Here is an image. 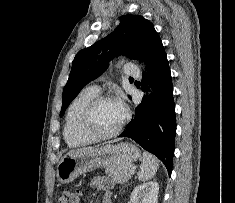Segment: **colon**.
Instances as JSON below:
<instances>
[{"instance_id":"colon-1","label":"colon","mask_w":235,"mask_h":203,"mask_svg":"<svg viewBox=\"0 0 235 203\" xmlns=\"http://www.w3.org/2000/svg\"><path fill=\"white\" fill-rule=\"evenodd\" d=\"M81 191L74 188H66L60 195L59 203H80Z\"/></svg>"}]
</instances>
